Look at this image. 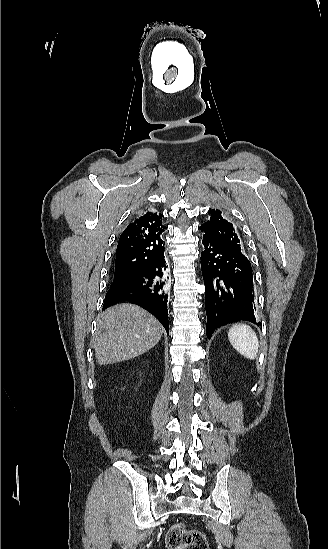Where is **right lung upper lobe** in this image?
Masks as SVG:
<instances>
[{"label":"right lung upper lobe","mask_w":328,"mask_h":549,"mask_svg":"<svg viewBox=\"0 0 328 549\" xmlns=\"http://www.w3.org/2000/svg\"><path fill=\"white\" fill-rule=\"evenodd\" d=\"M163 214L144 211L135 216L119 238L114 277L134 276L164 252Z\"/></svg>","instance_id":"1"}]
</instances>
